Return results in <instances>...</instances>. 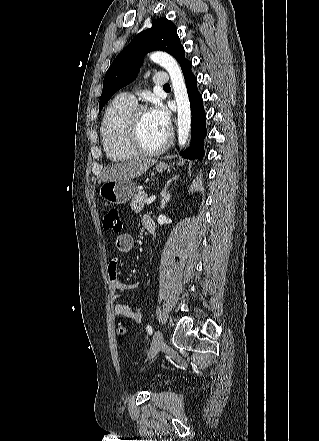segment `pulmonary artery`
<instances>
[{
    "label": "pulmonary artery",
    "instance_id": "1",
    "mask_svg": "<svg viewBox=\"0 0 319 441\" xmlns=\"http://www.w3.org/2000/svg\"><path fill=\"white\" fill-rule=\"evenodd\" d=\"M152 82L155 86L164 87L168 84V76L165 72H158L153 76ZM123 96L134 103L136 102L135 96L131 93H124Z\"/></svg>",
    "mask_w": 319,
    "mask_h": 441
}]
</instances>
